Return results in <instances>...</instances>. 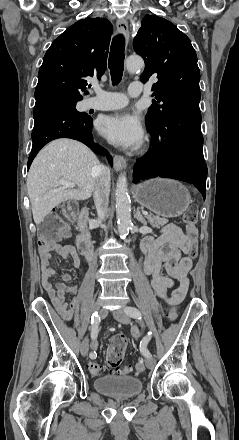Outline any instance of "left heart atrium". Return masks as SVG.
<instances>
[{
  "label": "left heart atrium",
  "mask_w": 239,
  "mask_h": 440,
  "mask_svg": "<svg viewBox=\"0 0 239 440\" xmlns=\"http://www.w3.org/2000/svg\"><path fill=\"white\" fill-rule=\"evenodd\" d=\"M100 130L110 141L131 148L139 147L144 137L139 118L129 112H118L105 117Z\"/></svg>",
  "instance_id": "left-heart-atrium-1"
}]
</instances>
